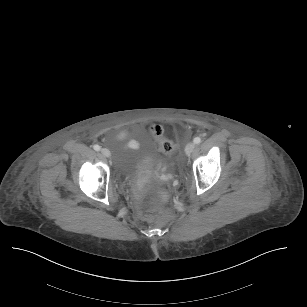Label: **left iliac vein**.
Here are the masks:
<instances>
[{"instance_id": "1", "label": "left iliac vein", "mask_w": 307, "mask_h": 307, "mask_svg": "<svg viewBox=\"0 0 307 307\" xmlns=\"http://www.w3.org/2000/svg\"><path fill=\"white\" fill-rule=\"evenodd\" d=\"M194 149H195V144L193 142H190L185 147V153L189 155L190 153H192Z\"/></svg>"}]
</instances>
